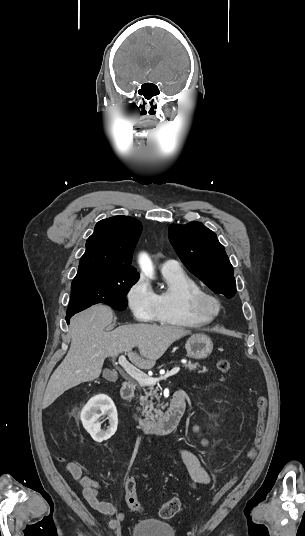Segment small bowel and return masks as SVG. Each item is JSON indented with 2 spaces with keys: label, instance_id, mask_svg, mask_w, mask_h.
I'll list each match as a JSON object with an SVG mask.
<instances>
[{
  "label": "small bowel",
  "instance_id": "small-bowel-1",
  "mask_svg": "<svg viewBox=\"0 0 305 536\" xmlns=\"http://www.w3.org/2000/svg\"><path fill=\"white\" fill-rule=\"evenodd\" d=\"M194 430L197 431L198 427L195 426ZM179 456L186 468V481L191 487L210 484L211 478L209 474L194 453L186 448H180ZM66 471L78 483L83 497L90 507L106 516L115 515L108 525L111 529L118 527L124 519V513H116L115 505L100 497L101 484L90 476L84 475L80 465L76 462H68Z\"/></svg>",
  "mask_w": 305,
  "mask_h": 536
}]
</instances>
